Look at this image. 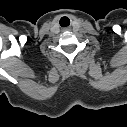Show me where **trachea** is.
I'll return each instance as SVG.
<instances>
[{
  "instance_id": "1",
  "label": "trachea",
  "mask_w": 127,
  "mask_h": 127,
  "mask_svg": "<svg viewBox=\"0 0 127 127\" xmlns=\"http://www.w3.org/2000/svg\"><path fill=\"white\" fill-rule=\"evenodd\" d=\"M65 20H68V21H69V19H68L67 17L61 18V20H60V25H61V26H68V25H69L70 21H69V23H68L67 25H65V24H64V21H65Z\"/></svg>"
}]
</instances>
